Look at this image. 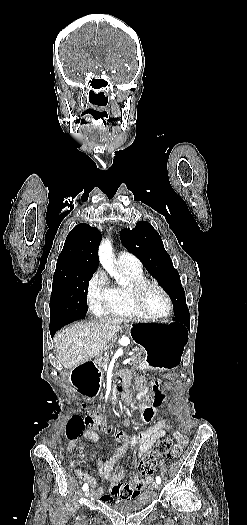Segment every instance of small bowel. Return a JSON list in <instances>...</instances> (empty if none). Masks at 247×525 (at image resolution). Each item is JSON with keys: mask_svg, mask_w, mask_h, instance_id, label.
<instances>
[{"mask_svg": "<svg viewBox=\"0 0 247 525\" xmlns=\"http://www.w3.org/2000/svg\"><path fill=\"white\" fill-rule=\"evenodd\" d=\"M151 398V393L144 396V399ZM166 427V421L159 419L153 424H148L144 430L131 437H128L123 432H118L116 434V440L121 446L105 461H103L97 453L100 441L98 433H93L91 430H87L82 434V438L95 443L92 458L96 463L98 479L94 478L81 468V464L86 462L87 458L84 454V444L80 439L74 440L69 444V451L74 457V461L71 463V468L80 480L89 484L91 487L96 488L98 484L102 482H107L111 485L110 492H104L102 487L97 488V493L101 496V499L105 501L106 506H125L127 502L126 498L131 497L133 491H135L137 495H140L142 493L140 488L149 485L153 481V478L148 477L140 480L135 474H133L130 481L123 483L126 471L119 467V461L129 449H136L138 456L147 453L151 447L165 435ZM175 438L178 441V448L172 451L171 456L173 458H176L181 454L186 443V438L180 432L175 434Z\"/></svg>", "mask_w": 247, "mask_h": 525, "instance_id": "c3829d8e", "label": "small bowel"}]
</instances>
